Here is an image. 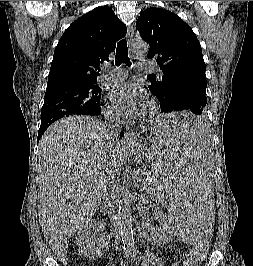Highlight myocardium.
I'll return each mask as SVG.
<instances>
[{
    "label": "myocardium",
    "instance_id": "f54148a6",
    "mask_svg": "<svg viewBox=\"0 0 253 266\" xmlns=\"http://www.w3.org/2000/svg\"><path fill=\"white\" fill-rule=\"evenodd\" d=\"M147 105H148V110L146 112V118H152L157 112V103L155 100L150 99Z\"/></svg>",
    "mask_w": 253,
    "mask_h": 266
}]
</instances>
